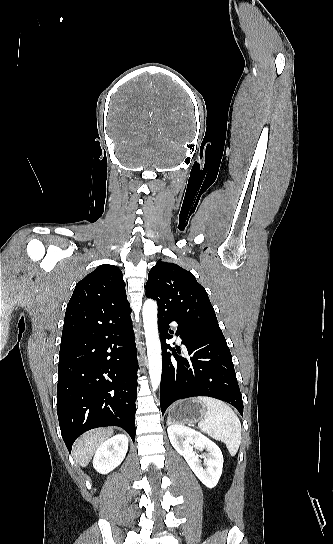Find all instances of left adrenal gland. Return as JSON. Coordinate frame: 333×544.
<instances>
[{"instance_id": "1", "label": "left adrenal gland", "mask_w": 333, "mask_h": 544, "mask_svg": "<svg viewBox=\"0 0 333 544\" xmlns=\"http://www.w3.org/2000/svg\"><path fill=\"white\" fill-rule=\"evenodd\" d=\"M170 424H171V422H170V420L168 419V421H167V425H170Z\"/></svg>"}]
</instances>
